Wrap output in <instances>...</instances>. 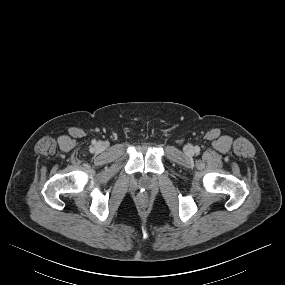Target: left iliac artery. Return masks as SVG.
Returning <instances> with one entry per match:
<instances>
[{
  "label": "left iliac artery",
  "instance_id": "left-iliac-artery-1",
  "mask_svg": "<svg viewBox=\"0 0 285 285\" xmlns=\"http://www.w3.org/2000/svg\"><path fill=\"white\" fill-rule=\"evenodd\" d=\"M198 150H199V148H198V147H196V148H195V151H196V152H198Z\"/></svg>",
  "mask_w": 285,
  "mask_h": 285
}]
</instances>
